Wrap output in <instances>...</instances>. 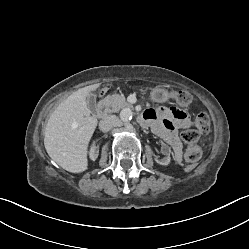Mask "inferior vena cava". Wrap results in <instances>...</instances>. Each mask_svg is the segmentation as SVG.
<instances>
[{
	"mask_svg": "<svg viewBox=\"0 0 249 249\" xmlns=\"http://www.w3.org/2000/svg\"><path fill=\"white\" fill-rule=\"evenodd\" d=\"M120 120L115 115H108L104 117L99 123V129L102 132H108L113 127L119 126Z\"/></svg>",
	"mask_w": 249,
	"mask_h": 249,
	"instance_id": "obj_1",
	"label": "inferior vena cava"
}]
</instances>
